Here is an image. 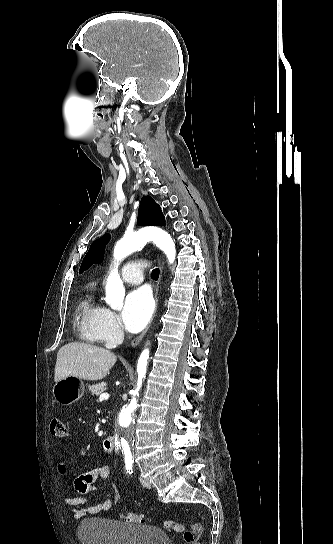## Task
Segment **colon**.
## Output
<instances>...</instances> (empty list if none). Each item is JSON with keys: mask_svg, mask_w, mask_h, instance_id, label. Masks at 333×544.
<instances>
[{"mask_svg": "<svg viewBox=\"0 0 333 544\" xmlns=\"http://www.w3.org/2000/svg\"><path fill=\"white\" fill-rule=\"evenodd\" d=\"M51 434L57 438H64L68 431L64 422L58 418H53L50 423ZM122 518L127 522L142 524L145 518L141 514H135L127 511L121 512ZM163 527L171 532L182 533L187 544H199L202 534V526L198 522L180 523L171 520H165Z\"/></svg>", "mask_w": 333, "mask_h": 544, "instance_id": "5ec220e1", "label": "colon"}]
</instances>
